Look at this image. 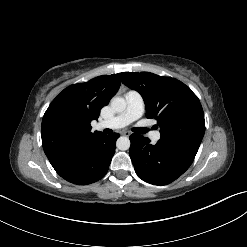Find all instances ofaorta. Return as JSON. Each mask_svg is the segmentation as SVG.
Returning a JSON list of instances; mask_svg holds the SVG:
<instances>
[{
  "label": "aorta",
  "mask_w": 247,
  "mask_h": 247,
  "mask_svg": "<svg viewBox=\"0 0 247 247\" xmlns=\"http://www.w3.org/2000/svg\"><path fill=\"white\" fill-rule=\"evenodd\" d=\"M111 107L116 112H122L126 109V101L122 97H113L111 99ZM130 144V140L126 136L119 137L116 142V146L119 150H128Z\"/></svg>",
  "instance_id": "obj_1"
}]
</instances>
